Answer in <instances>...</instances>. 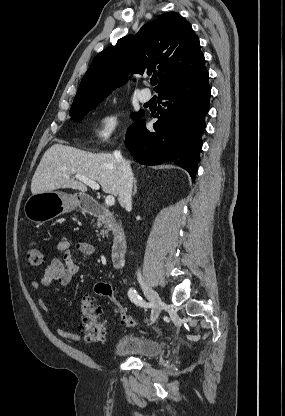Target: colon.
<instances>
[{
	"label": "colon",
	"instance_id": "1",
	"mask_svg": "<svg viewBox=\"0 0 285 416\" xmlns=\"http://www.w3.org/2000/svg\"><path fill=\"white\" fill-rule=\"evenodd\" d=\"M28 264L32 268H39L45 261V254L43 251L35 246H31L26 253ZM94 294L108 299L120 314L121 320L127 326H136L137 321L127 311L126 307L120 303L115 295L110 284L105 282H98L94 286ZM102 310L95 303L92 294H85L82 299L81 307V325L80 333L82 340L87 343H102L106 336V323L101 319Z\"/></svg>",
	"mask_w": 285,
	"mask_h": 416
}]
</instances>
